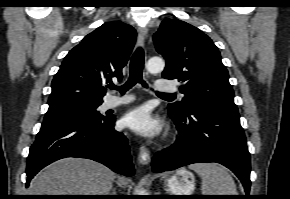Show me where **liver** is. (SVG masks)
<instances>
[{
	"mask_svg": "<svg viewBox=\"0 0 290 199\" xmlns=\"http://www.w3.org/2000/svg\"><path fill=\"white\" fill-rule=\"evenodd\" d=\"M115 174L88 159L65 158L47 166L30 183V195H110Z\"/></svg>",
	"mask_w": 290,
	"mask_h": 199,
	"instance_id": "obj_1",
	"label": "liver"
}]
</instances>
